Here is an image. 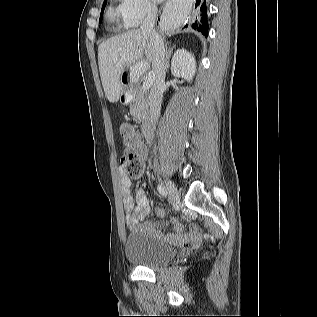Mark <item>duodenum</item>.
I'll use <instances>...</instances> for the list:
<instances>
[{"label": "duodenum", "instance_id": "duodenum-1", "mask_svg": "<svg viewBox=\"0 0 317 317\" xmlns=\"http://www.w3.org/2000/svg\"><path fill=\"white\" fill-rule=\"evenodd\" d=\"M155 129L151 121H146L143 126V136L147 142H151L154 138Z\"/></svg>", "mask_w": 317, "mask_h": 317}]
</instances>
